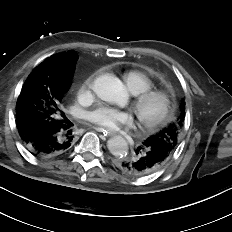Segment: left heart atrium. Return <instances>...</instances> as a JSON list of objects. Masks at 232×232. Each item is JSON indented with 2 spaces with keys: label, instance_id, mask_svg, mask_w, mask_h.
I'll return each instance as SVG.
<instances>
[{
  "label": "left heart atrium",
  "instance_id": "39dd6f15",
  "mask_svg": "<svg viewBox=\"0 0 232 232\" xmlns=\"http://www.w3.org/2000/svg\"><path fill=\"white\" fill-rule=\"evenodd\" d=\"M87 119L97 127L111 131L130 126L133 120L129 112L110 107H99L89 112Z\"/></svg>",
  "mask_w": 232,
  "mask_h": 232
}]
</instances>
